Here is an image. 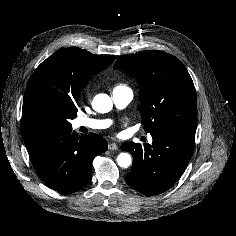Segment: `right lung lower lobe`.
<instances>
[{
  "instance_id": "98d812e1",
  "label": "right lung lower lobe",
  "mask_w": 236,
  "mask_h": 236,
  "mask_svg": "<svg viewBox=\"0 0 236 236\" xmlns=\"http://www.w3.org/2000/svg\"><path fill=\"white\" fill-rule=\"evenodd\" d=\"M24 142L42 181L63 194L76 192L90 182L93 159L108 147L101 136L91 133L80 137L72 129L34 135Z\"/></svg>"
}]
</instances>
